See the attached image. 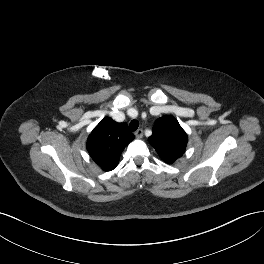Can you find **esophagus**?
<instances>
[{
  "label": "esophagus",
  "mask_w": 264,
  "mask_h": 264,
  "mask_svg": "<svg viewBox=\"0 0 264 264\" xmlns=\"http://www.w3.org/2000/svg\"><path fill=\"white\" fill-rule=\"evenodd\" d=\"M136 138L140 139L143 137V130L142 129H138L134 132Z\"/></svg>",
  "instance_id": "esophagus-1"
}]
</instances>
